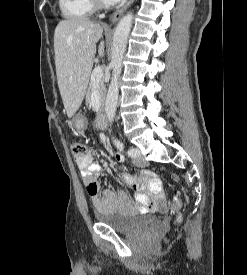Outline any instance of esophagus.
Instances as JSON below:
<instances>
[{
    "label": "esophagus",
    "mask_w": 247,
    "mask_h": 275,
    "mask_svg": "<svg viewBox=\"0 0 247 275\" xmlns=\"http://www.w3.org/2000/svg\"><path fill=\"white\" fill-rule=\"evenodd\" d=\"M134 2V0H128V2L119 10H117L113 15H112V22L117 21L122 14L131 6V4Z\"/></svg>",
    "instance_id": "1"
}]
</instances>
